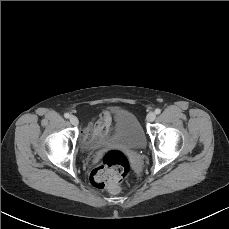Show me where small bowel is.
I'll use <instances>...</instances> for the list:
<instances>
[{"instance_id": "small-bowel-1", "label": "small bowel", "mask_w": 229, "mask_h": 229, "mask_svg": "<svg viewBox=\"0 0 229 229\" xmlns=\"http://www.w3.org/2000/svg\"><path fill=\"white\" fill-rule=\"evenodd\" d=\"M113 119L110 111L104 110L100 113L96 122L89 124L83 133V141L88 138L108 136L111 133Z\"/></svg>"}]
</instances>
